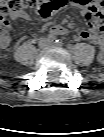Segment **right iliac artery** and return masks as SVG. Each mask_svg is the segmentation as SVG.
<instances>
[{"instance_id":"1","label":"right iliac artery","mask_w":104,"mask_h":137,"mask_svg":"<svg viewBox=\"0 0 104 137\" xmlns=\"http://www.w3.org/2000/svg\"><path fill=\"white\" fill-rule=\"evenodd\" d=\"M50 39H51L52 41H54V40H56V37L53 36V35H51V36H50Z\"/></svg>"}]
</instances>
